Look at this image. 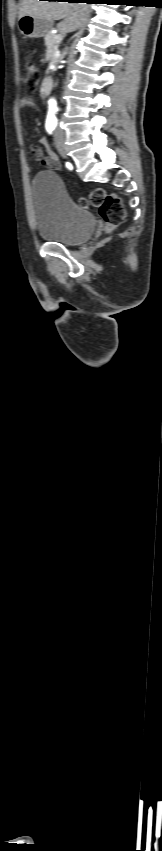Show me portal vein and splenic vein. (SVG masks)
<instances>
[{
  "instance_id": "portal-vein-and-splenic-vein-1",
  "label": "portal vein and splenic vein",
  "mask_w": 162,
  "mask_h": 851,
  "mask_svg": "<svg viewBox=\"0 0 162 851\" xmlns=\"http://www.w3.org/2000/svg\"><path fill=\"white\" fill-rule=\"evenodd\" d=\"M62 38H63V34H59V35H57V37H56V39H57V40H62Z\"/></svg>"
}]
</instances>
